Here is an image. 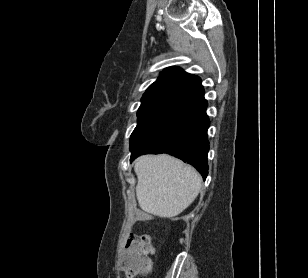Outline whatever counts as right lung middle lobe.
<instances>
[{"label": "right lung middle lobe", "instance_id": "1", "mask_svg": "<svg viewBox=\"0 0 308 278\" xmlns=\"http://www.w3.org/2000/svg\"><path fill=\"white\" fill-rule=\"evenodd\" d=\"M176 116L168 114L138 116V124L130 137V150L157 134Z\"/></svg>", "mask_w": 308, "mask_h": 278}]
</instances>
